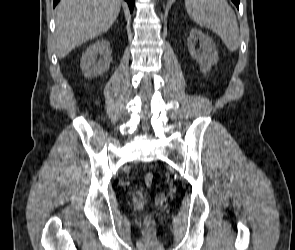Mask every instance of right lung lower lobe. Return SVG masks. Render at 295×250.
<instances>
[{"label":"right lung lower lobe","mask_w":295,"mask_h":250,"mask_svg":"<svg viewBox=\"0 0 295 250\" xmlns=\"http://www.w3.org/2000/svg\"><path fill=\"white\" fill-rule=\"evenodd\" d=\"M60 0H54V3H53V6L55 7L56 4L59 2ZM128 5H129V8H130V11L132 12L133 11V8H134V2L135 0H126Z\"/></svg>","instance_id":"right-lung-lower-lobe-1"}]
</instances>
